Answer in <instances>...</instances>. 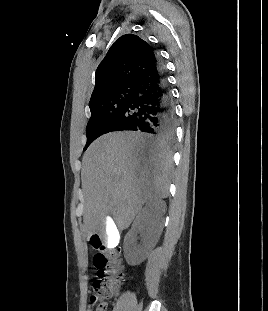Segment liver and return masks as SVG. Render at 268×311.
I'll return each instance as SVG.
<instances>
[{
    "mask_svg": "<svg viewBox=\"0 0 268 311\" xmlns=\"http://www.w3.org/2000/svg\"><path fill=\"white\" fill-rule=\"evenodd\" d=\"M171 169V154L141 133L112 132L96 139L82 159L86 238L105 233L109 215L122 231L148 200L166 198Z\"/></svg>",
    "mask_w": 268,
    "mask_h": 311,
    "instance_id": "liver-1",
    "label": "liver"
}]
</instances>
